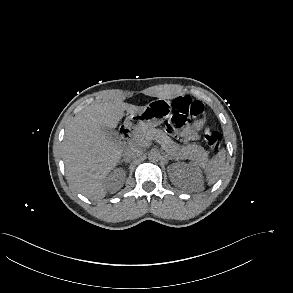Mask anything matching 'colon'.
I'll list each match as a JSON object with an SVG mask.
<instances>
[{
	"label": "colon",
	"mask_w": 293,
	"mask_h": 293,
	"mask_svg": "<svg viewBox=\"0 0 293 293\" xmlns=\"http://www.w3.org/2000/svg\"><path fill=\"white\" fill-rule=\"evenodd\" d=\"M174 114L169 118L166 124L168 133L176 134L190 119L199 117L204 112L203 104L198 100H192L188 96H179L172 102ZM204 139L212 149H218L221 145V136L219 132L206 129Z\"/></svg>",
	"instance_id": "obj_1"
}]
</instances>
